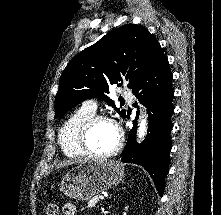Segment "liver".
<instances>
[{
	"label": "liver",
	"mask_w": 221,
	"mask_h": 215,
	"mask_svg": "<svg viewBox=\"0 0 221 215\" xmlns=\"http://www.w3.org/2000/svg\"><path fill=\"white\" fill-rule=\"evenodd\" d=\"M73 163L74 161H71V160L61 162L57 165V168L66 167V166L72 165Z\"/></svg>",
	"instance_id": "6515ba94"
}]
</instances>
